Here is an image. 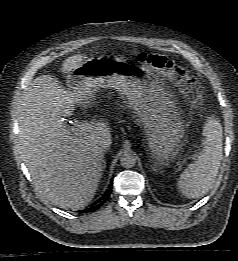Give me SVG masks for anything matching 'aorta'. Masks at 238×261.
Listing matches in <instances>:
<instances>
[{
  "instance_id": "obj_1",
  "label": "aorta",
  "mask_w": 238,
  "mask_h": 261,
  "mask_svg": "<svg viewBox=\"0 0 238 261\" xmlns=\"http://www.w3.org/2000/svg\"><path fill=\"white\" fill-rule=\"evenodd\" d=\"M120 163L124 168H132L136 164V157L131 153H125L121 156Z\"/></svg>"
}]
</instances>
